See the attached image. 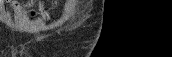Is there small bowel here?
I'll return each instance as SVG.
<instances>
[{
  "label": "small bowel",
  "mask_w": 172,
  "mask_h": 57,
  "mask_svg": "<svg viewBox=\"0 0 172 57\" xmlns=\"http://www.w3.org/2000/svg\"><path fill=\"white\" fill-rule=\"evenodd\" d=\"M33 2V1H30ZM11 6L15 9L19 8L20 4L18 2H11Z\"/></svg>",
  "instance_id": "c3829d8e"
}]
</instances>
